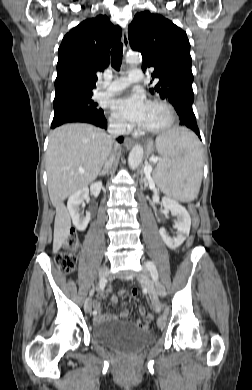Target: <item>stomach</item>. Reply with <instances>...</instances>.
<instances>
[{"instance_id":"obj_1","label":"stomach","mask_w":252,"mask_h":390,"mask_svg":"<svg viewBox=\"0 0 252 390\" xmlns=\"http://www.w3.org/2000/svg\"><path fill=\"white\" fill-rule=\"evenodd\" d=\"M153 151V145L150 143V144H148V146H147V152L148 153H151Z\"/></svg>"}]
</instances>
